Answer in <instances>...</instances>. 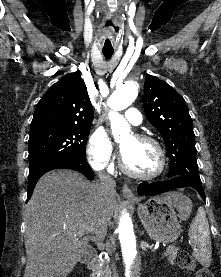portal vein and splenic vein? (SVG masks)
I'll return each instance as SVG.
<instances>
[{"label":"portal vein and splenic vein","mask_w":221,"mask_h":277,"mask_svg":"<svg viewBox=\"0 0 221 277\" xmlns=\"http://www.w3.org/2000/svg\"><path fill=\"white\" fill-rule=\"evenodd\" d=\"M173 248H174L173 245H169V246H167L166 251L172 250Z\"/></svg>","instance_id":"obj_1"}]
</instances>
